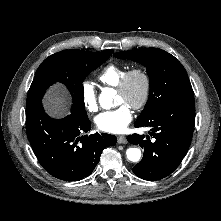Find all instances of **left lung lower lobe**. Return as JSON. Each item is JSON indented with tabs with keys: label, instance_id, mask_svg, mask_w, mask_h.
<instances>
[{
	"label": "left lung lower lobe",
	"instance_id": "obj_1",
	"mask_svg": "<svg viewBox=\"0 0 221 221\" xmlns=\"http://www.w3.org/2000/svg\"><path fill=\"white\" fill-rule=\"evenodd\" d=\"M195 124L194 102H181L160 108L147 119L135 121V127H149V135L132 134L131 144L140 145L144 155L133 167L139 178L156 181L170 175L185 157L193 136Z\"/></svg>",
	"mask_w": 221,
	"mask_h": 221
}]
</instances>
